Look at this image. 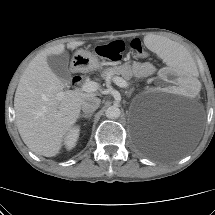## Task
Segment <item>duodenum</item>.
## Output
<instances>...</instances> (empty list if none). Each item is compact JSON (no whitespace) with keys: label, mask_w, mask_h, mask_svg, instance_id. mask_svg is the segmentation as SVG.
Returning <instances> with one entry per match:
<instances>
[{"label":"duodenum","mask_w":215,"mask_h":215,"mask_svg":"<svg viewBox=\"0 0 215 215\" xmlns=\"http://www.w3.org/2000/svg\"><path fill=\"white\" fill-rule=\"evenodd\" d=\"M80 81H81V77H80V76H78V75L74 76L73 82H74L75 84L79 83Z\"/></svg>","instance_id":"1"}]
</instances>
